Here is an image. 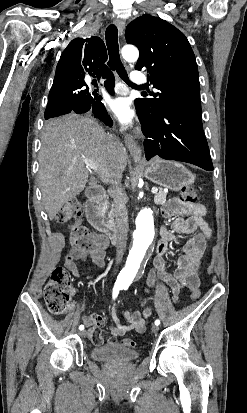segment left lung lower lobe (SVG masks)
<instances>
[{"label": "left lung lower lobe", "instance_id": "obj_1", "mask_svg": "<svg viewBox=\"0 0 247 413\" xmlns=\"http://www.w3.org/2000/svg\"><path fill=\"white\" fill-rule=\"evenodd\" d=\"M139 116V115H138ZM146 137L147 160L159 156L166 160L183 161L212 171V160L203 131L202 118L183 110H161L152 120L139 116Z\"/></svg>", "mask_w": 247, "mask_h": 413}]
</instances>
